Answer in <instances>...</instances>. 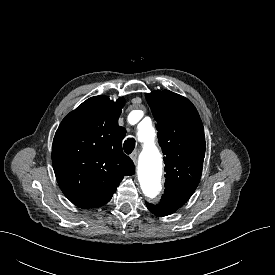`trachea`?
Returning a JSON list of instances; mask_svg holds the SVG:
<instances>
[{
  "label": "trachea",
  "instance_id": "3493384b",
  "mask_svg": "<svg viewBox=\"0 0 275 275\" xmlns=\"http://www.w3.org/2000/svg\"><path fill=\"white\" fill-rule=\"evenodd\" d=\"M135 148V139L134 138H128L124 141V152L126 154H130Z\"/></svg>",
  "mask_w": 275,
  "mask_h": 275
}]
</instances>
